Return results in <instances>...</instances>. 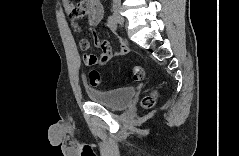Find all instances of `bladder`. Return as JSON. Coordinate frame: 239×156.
I'll use <instances>...</instances> for the list:
<instances>
[{
  "label": "bladder",
  "instance_id": "bladder-1",
  "mask_svg": "<svg viewBox=\"0 0 239 156\" xmlns=\"http://www.w3.org/2000/svg\"><path fill=\"white\" fill-rule=\"evenodd\" d=\"M89 99L109 109L120 110L126 108L133 100L135 89L133 87H121L108 90H96L87 88Z\"/></svg>",
  "mask_w": 239,
  "mask_h": 156
}]
</instances>
